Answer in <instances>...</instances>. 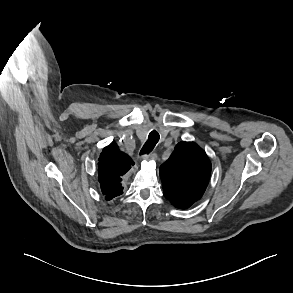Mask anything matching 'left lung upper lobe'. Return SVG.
<instances>
[{"label":"left lung upper lobe","instance_id":"1","mask_svg":"<svg viewBox=\"0 0 293 293\" xmlns=\"http://www.w3.org/2000/svg\"><path fill=\"white\" fill-rule=\"evenodd\" d=\"M211 162L194 142H180L160 166L164 195L180 209L199 200L210 179Z\"/></svg>","mask_w":293,"mask_h":293}]
</instances>
